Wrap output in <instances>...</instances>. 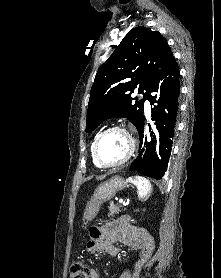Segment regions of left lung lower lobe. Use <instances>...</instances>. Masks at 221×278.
<instances>
[{
    "instance_id": "obj_1",
    "label": "left lung lower lobe",
    "mask_w": 221,
    "mask_h": 278,
    "mask_svg": "<svg viewBox=\"0 0 221 278\" xmlns=\"http://www.w3.org/2000/svg\"><path fill=\"white\" fill-rule=\"evenodd\" d=\"M179 78V67L173 57L146 95L145 99H148L151 105L156 104L151 109V117L155 121L156 129L155 133L151 132L152 139L148 141L144 134L145 117L142 119L137 128L140 153L132 162L130 171L139 172L156 180L162 179L165 175L179 112ZM152 92L155 93L154 96L150 94Z\"/></svg>"
}]
</instances>
